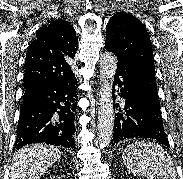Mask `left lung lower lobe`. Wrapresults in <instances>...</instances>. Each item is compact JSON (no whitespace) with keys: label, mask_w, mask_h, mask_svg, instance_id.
Masks as SVG:
<instances>
[{"label":"left lung lower lobe","mask_w":183,"mask_h":179,"mask_svg":"<svg viewBox=\"0 0 183 179\" xmlns=\"http://www.w3.org/2000/svg\"><path fill=\"white\" fill-rule=\"evenodd\" d=\"M115 84L121 87L119 93L125 99L126 112L125 115L115 114L112 146L124 139L144 138L160 141L169 147L160 108L151 102L140 80L118 64Z\"/></svg>","instance_id":"left-lung-lower-lobe-1"}]
</instances>
